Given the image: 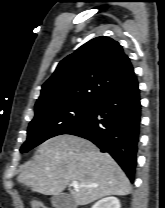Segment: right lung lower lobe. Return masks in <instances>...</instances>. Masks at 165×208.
<instances>
[{
  "instance_id": "obj_1",
  "label": "right lung lower lobe",
  "mask_w": 165,
  "mask_h": 208,
  "mask_svg": "<svg viewBox=\"0 0 165 208\" xmlns=\"http://www.w3.org/2000/svg\"><path fill=\"white\" fill-rule=\"evenodd\" d=\"M140 117V91L134 75L124 85L100 98L91 114L66 134L86 138L102 152H108L133 182Z\"/></svg>"
}]
</instances>
